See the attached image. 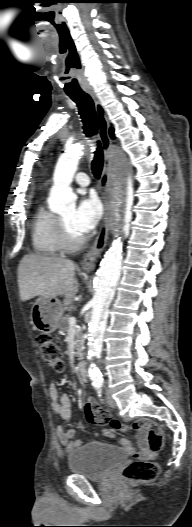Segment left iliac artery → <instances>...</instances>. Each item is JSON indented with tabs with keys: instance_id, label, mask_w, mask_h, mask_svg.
Segmentation results:
<instances>
[{
	"instance_id": "obj_1",
	"label": "left iliac artery",
	"mask_w": 192,
	"mask_h": 527,
	"mask_svg": "<svg viewBox=\"0 0 192 527\" xmlns=\"http://www.w3.org/2000/svg\"><path fill=\"white\" fill-rule=\"evenodd\" d=\"M98 385H101V386H102V385H103V382H100Z\"/></svg>"
}]
</instances>
